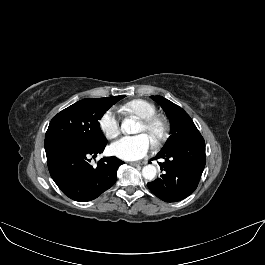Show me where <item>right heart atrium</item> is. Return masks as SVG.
I'll use <instances>...</instances> for the list:
<instances>
[{"mask_svg":"<svg viewBox=\"0 0 265 265\" xmlns=\"http://www.w3.org/2000/svg\"><path fill=\"white\" fill-rule=\"evenodd\" d=\"M99 126L104 136L109 139H115L120 134V117L118 113L109 109L105 111L100 119Z\"/></svg>","mask_w":265,"mask_h":265,"instance_id":"right-heart-atrium-1","label":"right heart atrium"}]
</instances>
